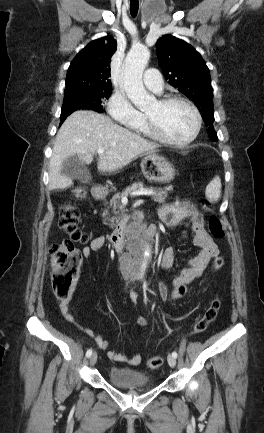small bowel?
Masks as SVG:
<instances>
[{
  "mask_svg": "<svg viewBox=\"0 0 264 433\" xmlns=\"http://www.w3.org/2000/svg\"><path fill=\"white\" fill-rule=\"evenodd\" d=\"M160 216L165 220L168 225L177 226L184 222H188L191 230L194 233L193 243L197 246L200 251L199 253L189 261V266L184 268L180 275L174 279L173 284H184L191 283L196 278L200 277L205 268L207 267L211 258L218 255L219 249L210 234L205 229L204 218L197 210V208L189 201H175L163 205L159 210ZM188 236V232L185 231L182 235L183 238ZM105 246L104 237H98L85 246L82 250L84 258L88 259L93 253L103 250ZM175 260V249L170 247L167 248L161 257V266L165 269H169L173 266ZM158 292L162 301L167 299L168 290L163 282L157 284ZM72 295L70 294L67 298L60 300V310L64 318L76 325L75 317L71 309ZM148 319L144 317H138L137 323L140 325H147ZM81 330L88 336L94 337L97 346L101 349H106L109 343L104 339V336L92 329ZM110 359L125 363L128 365H138L141 361L139 355L127 356L124 354L115 353L113 351L108 352Z\"/></svg>",
  "mask_w": 264,
  "mask_h": 433,
  "instance_id": "obj_1",
  "label": "small bowel"
}]
</instances>
